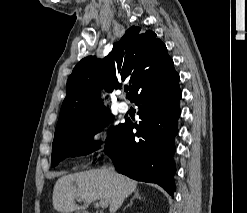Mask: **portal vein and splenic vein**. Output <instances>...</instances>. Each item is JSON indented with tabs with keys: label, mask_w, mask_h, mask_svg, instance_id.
<instances>
[{
	"label": "portal vein and splenic vein",
	"mask_w": 247,
	"mask_h": 213,
	"mask_svg": "<svg viewBox=\"0 0 247 213\" xmlns=\"http://www.w3.org/2000/svg\"><path fill=\"white\" fill-rule=\"evenodd\" d=\"M99 205H100L102 208H106V207L108 206L107 202L104 201V200H100Z\"/></svg>",
	"instance_id": "obj_1"
}]
</instances>
